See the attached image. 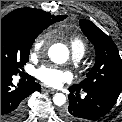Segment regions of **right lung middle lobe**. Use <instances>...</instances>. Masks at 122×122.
Wrapping results in <instances>:
<instances>
[{
    "label": "right lung middle lobe",
    "mask_w": 122,
    "mask_h": 122,
    "mask_svg": "<svg viewBox=\"0 0 122 122\" xmlns=\"http://www.w3.org/2000/svg\"><path fill=\"white\" fill-rule=\"evenodd\" d=\"M43 30L13 20H1V69L13 74L20 72L28 61L35 38Z\"/></svg>",
    "instance_id": "obj_1"
}]
</instances>
